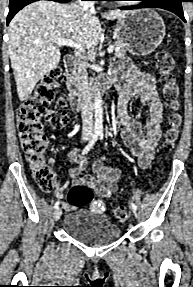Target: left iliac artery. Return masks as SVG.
Segmentation results:
<instances>
[{"label": "left iliac artery", "mask_w": 193, "mask_h": 287, "mask_svg": "<svg viewBox=\"0 0 193 287\" xmlns=\"http://www.w3.org/2000/svg\"><path fill=\"white\" fill-rule=\"evenodd\" d=\"M100 139L102 140L103 139V133L101 132L100 134ZM131 205H132V208L134 209V210H137V206L134 204V203H131Z\"/></svg>", "instance_id": "1"}]
</instances>
